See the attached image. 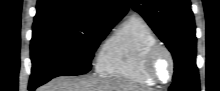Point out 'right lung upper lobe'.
Instances as JSON below:
<instances>
[{
    "label": "right lung upper lobe",
    "mask_w": 220,
    "mask_h": 91,
    "mask_svg": "<svg viewBox=\"0 0 220 91\" xmlns=\"http://www.w3.org/2000/svg\"><path fill=\"white\" fill-rule=\"evenodd\" d=\"M127 11L126 0H38L34 24L66 21L114 26Z\"/></svg>",
    "instance_id": "right-lung-upper-lobe-1"
}]
</instances>
